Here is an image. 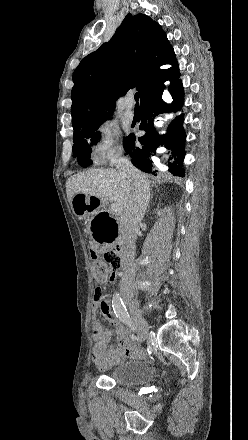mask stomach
Here are the masks:
<instances>
[{
    "label": "stomach",
    "instance_id": "stomach-1",
    "mask_svg": "<svg viewBox=\"0 0 248 440\" xmlns=\"http://www.w3.org/2000/svg\"><path fill=\"white\" fill-rule=\"evenodd\" d=\"M99 198L77 193L73 196L71 206L77 218H89L86 231L91 233V240L97 246H114L120 239L121 225L114 218V209H97Z\"/></svg>",
    "mask_w": 248,
    "mask_h": 440
}]
</instances>
